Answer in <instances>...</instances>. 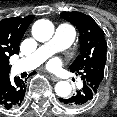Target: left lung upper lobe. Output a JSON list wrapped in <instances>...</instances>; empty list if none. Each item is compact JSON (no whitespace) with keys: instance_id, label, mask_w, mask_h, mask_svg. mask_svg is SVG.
Masks as SVG:
<instances>
[{"instance_id":"left-lung-upper-lobe-1","label":"left lung upper lobe","mask_w":117,"mask_h":117,"mask_svg":"<svg viewBox=\"0 0 117 117\" xmlns=\"http://www.w3.org/2000/svg\"><path fill=\"white\" fill-rule=\"evenodd\" d=\"M61 16L74 24L81 40V53L70 66L72 72L82 75L83 83L95 93L104 77L107 43L103 30L88 15L80 12H63Z\"/></svg>"}]
</instances>
